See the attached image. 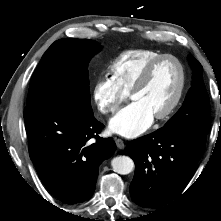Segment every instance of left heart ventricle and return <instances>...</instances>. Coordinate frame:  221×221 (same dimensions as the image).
Instances as JSON below:
<instances>
[{
  "mask_svg": "<svg viewBox=\"0 0 221 221\" xmlns=\"http://www.w3.org/2000/svg\"><path fill=\"white\" fill-rule=\"evenodd\" d=\"M179 80L178 65L173 60H165L154 69L148 83L131 100L142 104L154 117L169 106L176 94Z\"/></svg>",
  "mask_w": 221,
  "mask_h": 221,
  "instance_id": "1",
  "label": "left heart ventricle"
}]
</instances>
